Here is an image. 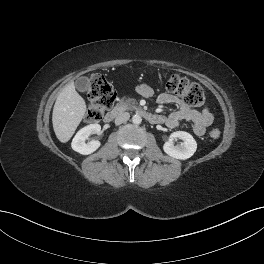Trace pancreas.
I'll list each match as a JSON object with an SVG mask.
<instances>
[{
  "mask_svg": "<svg viewBox=\"0 0 264 264\" xmlns=\"http://www.w3.org/2000/svg\"><path fill=\"white\" fill-rule=\"evenodd\" d=\"M134 104H135V100H133V99H122L117 104V108L118 109H129Z\"/></svg>",
  "mask_w": 264,
  "mask_h": 264,
  "instance_id": "cf45deb5",
  "label": "pancreas"
}]
</instances>
